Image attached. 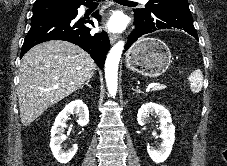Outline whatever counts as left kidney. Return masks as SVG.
<instances>
[{
	"mask_svg": "<svg viewBox=\"0 0 227 166\" xmlns=\"http://www.w3.org/2000/svg\"><path fill=\"white\" fill-rule=\"evenodd\" d=\"M153 114H156L160 119V137L162 142L158 148H153L148 145L147 152L155 163H162L171 153L175 141V127L172 124L169 111L162 105L153 102L145 103L140 107L137 114L139 125H146L149 121V116Z\"/></svg>",
	"mask_w": 227,
	"mask_h": 166,
	"instance_id": "5707ae66",
	"label": "left kidney"
}]
</instances>
